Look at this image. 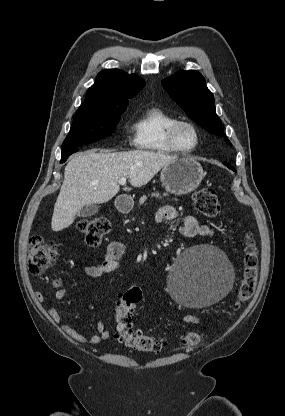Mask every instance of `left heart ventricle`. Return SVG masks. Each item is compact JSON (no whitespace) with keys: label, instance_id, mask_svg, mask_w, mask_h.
Here are the masks:
<instances>
[{"label":"left heart ventricle","instance_id":"1","mask_svg":"<svg viewBox=\"0 0 285 416\" xmlns=\"http://www.w3.org/2000/svg\"><path fill=\"white\" fill-rule=\"evenodd\" d=\"M177 138L180 146L183 148H192L196 143L193 130L185 125L178 129Z\"/></svg>","mask_w":285,"mask_h":416}]
</instances>
